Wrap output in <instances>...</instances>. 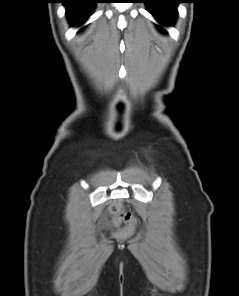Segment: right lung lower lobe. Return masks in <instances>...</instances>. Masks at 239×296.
I'll list each match as a JSON object with an SVG mask.
<instances>
[{
  "mask_svg": "<svg viewBox=\"0 0 239 296\" xmlns=\"http://www.w3.org/2000/svg\"><path fill=\"white\" fill-rule=\"evenodd\" d=\"M99 0H62L66 14L72 25H81L92 14L95 3Z\"/></svg>",
  "mask_w": 239,
  "mask_h": 296,
  "instance_id": "98d812e1",
  "label": "right lung lower lobe"
}]
</instances>
